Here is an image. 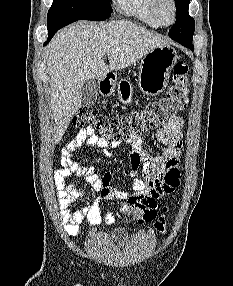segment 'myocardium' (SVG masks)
I'll return each mask as SVG.
<instances>
[{"label": "myocardium", "mask_w": 233, "mask_h": 286, "mask_svg": "<svg viewBox=\"0 0 233 286\" xmlns=\"http://www.w3.org/2000/svg\"><path fill=\"white\" fill-rule=\"evenodd\" d=\"M172 7V19L170 22H164L159 15V6L162 0H151V11L157 22L160 24V26H170L173 23H175L177 19V5L175 0H166Z\"/></svg>", "instance_id": "f54148a6"}]
</instances>
